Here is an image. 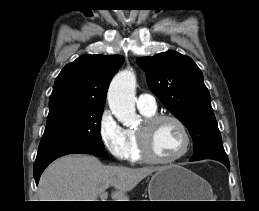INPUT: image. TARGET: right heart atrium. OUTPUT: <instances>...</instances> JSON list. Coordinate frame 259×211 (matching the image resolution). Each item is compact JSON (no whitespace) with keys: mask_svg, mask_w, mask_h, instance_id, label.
I'll return each mask as SVG.
<instances>
[{"mask_svg":"<svg viewBox=\"0 0 259 211\" xmlns=\"http://www.w3.org/2000/svg\"><path fill=\"white\" fill-rule=\"evenodd\" d=\"M98 134L104 148L117 160L128 154L126 130L118 123L109 109H104L98 120Z\"/></svg>","mask_w":259,"mask_h":211,"instance_id":"right-heart-atrium-1","label":"right heart atrium"}]
</instances>
